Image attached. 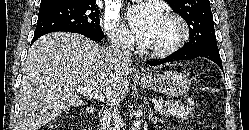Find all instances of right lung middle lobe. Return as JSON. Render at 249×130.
<instances>
[{"label": "right lung middle lobe", "instance_id": "dd1d6c3e", "mask_svg": "<svg viewBox=\"0 0 249 130\" xmlns=\"http://www.w3.org/2000/svg\"><path fill=\"white\" fill-rule=\"evenodd\" d=\"M68 30H82L103 38L96 1L64 0L58 4L40 6L34 35Z\"/></svg>", "mask_w": 249, "mask_h": 130}]
</instances>
